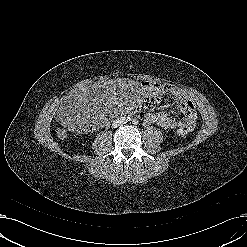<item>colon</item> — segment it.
I'll list each match as a JSON object with an SVG mask.
<instances>
[{
	"label": "colon",
	"instance_id": "colon-1",
	"mask_svg": "<svg viewBox=\"0 0 247 247\" xmlns=\"http://www.w3.org/2000/svg\"><path fill=\"white\" fill-rule=\"evenodd\" d=\"M144 86L146 96L149 100L159 99L163 96V91L159 85L147 83ZM188 132L189 131L187 128H179L176 134L178 137L183 138L187 135ZM56 134L59 138L63 139L67 137L68 132L65 127L59 126L56 129Z\"/></svg>",
	"mask_w": 247,
	"mask_h": 247
}]
</instances>
